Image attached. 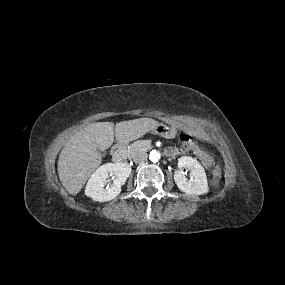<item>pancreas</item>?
I'll return each instance as SVG.
<instances>
[{
    "label": "pancreas",
    "instance_id": "pancreas-1",
    "mask_svg": "<svg viewBox=\"0 0 285 285\" xmlns=\"http://www.w3.org/2000/svg\"><path fill=\"white\" fill-rule=\"evenodd\" d=\"M150 148L149 145H147L145 143V141L142 140H138L135 141L134 143H132L129 147H128V153L130 155V157H134L137 153L139 152H145Z\"/></svg>",
    "mask_w": 285,
    "mask_h": 285
}]
</instances>
